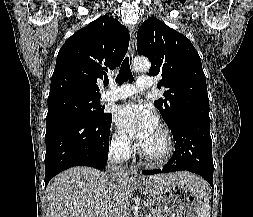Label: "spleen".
I'll return each instance as SVG.
<instances>
[{
    "mask_svg": "<svg viewBox=\"0 0 253 217\" xmlns=\"http://www.w3.org/2000/svg\"><path fill=\"white\" fill-rule=\"evenodd\" d=\"M210 204H209V198L205 195L204 197V203L201 208V217H210Z\"/></svg>",
    "mask_w": 253,
    "mask_h": 217,
    "instance_id": "spleen-1",
    "label": "spleen"
}]
</instances>
